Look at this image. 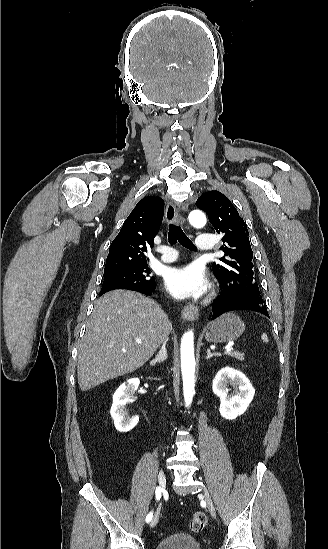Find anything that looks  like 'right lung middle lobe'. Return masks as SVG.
I'll list each match as a JSON object with an SVG mask.
<instances>
[{
  "label": "right lung middle lobe",
  "instance_id": "right-lung-middle-lobe-1",
  "mask_svg": "<svg viewBox=\"0 0 328 549\" xmlns=\"http://www.w3.org/2000/svg\"><path fill=\"white\" fill-rule=\"evenodd\" d=\"M155 284L147 264L124 267L104 272L101 295L115 289L146 290Z\"/></svg>",
  "mask_w": 328,
  "mask_h": 549
}]
</instances>
